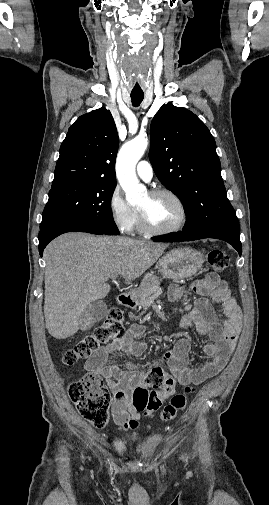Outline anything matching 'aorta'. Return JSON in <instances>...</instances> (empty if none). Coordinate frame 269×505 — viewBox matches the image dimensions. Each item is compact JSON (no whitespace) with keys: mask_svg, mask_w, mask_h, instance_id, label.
<instances>
[{"mask_svg":"<svg viewBox=\"0 0 269 505\" xmlns=\"http://www.w3.org/2000/svg\"><path fill=\"white\" fill-rule=\"evenodd\" d=\"M148 146L147 138L137 136L126 142L117 157L116 175L130 204H138L147 196V189L140 184L136 176V164Z\"/></svg>","mask_w":269,"mask_h":505,"instance_id":"1","label":"aorta"}]
</instances>
